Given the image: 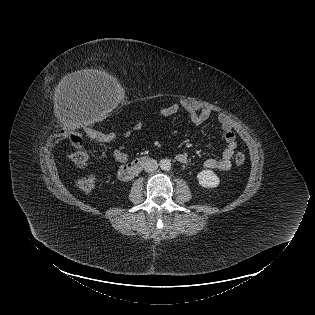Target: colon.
<instances>
[{
    "instance_id": "colon-1",
    "label": "colon",
    "mask_w": 315,
    "mask_h": 315,
    "mask_svg": "<svg viewBox=\"0 0 315 315\" xmlns=\"http://www.w3.org/2000/svg\"><path fill=\"white\" fill-rule=\"evenodd\" d=\"M84 135L102 142H109L112 140V136L110 134L94 130L86 131L85 133L79 131L73 132L69 137V157L75 165L80 167L87 165L89 160L88 152L84 147ZM235 162L238 165L243 164L245 162V154L243 152H238L235 155ZM96 182L97 180L94 175L87 174L79 177L76 180V185L82 192L88 194L95 190Z\"/></svg>"
}]
</instances>
